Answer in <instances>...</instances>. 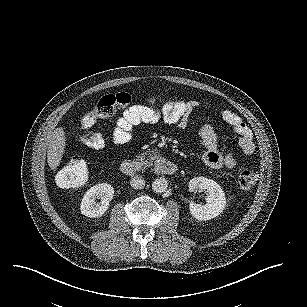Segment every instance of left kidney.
<instances>
[{"label":"left kidney","mask_w":307,"mask_h":307,"mask_svg":"<svg viewBox=\"0 0 307 307\" xmlns=\"http://www.w3.org/2000/svg\"><path fill=\"white\" fill-rule=\"evenodd\" d=\"M190 192L198 190H207V203L202 205L194 200L189 201V211L191 214L200 220H209L223 212L226 206V197L220 185L214 180L199 176L194 177L188 182Z\"/></svg>","instance_id":"1"}]
</instances>
